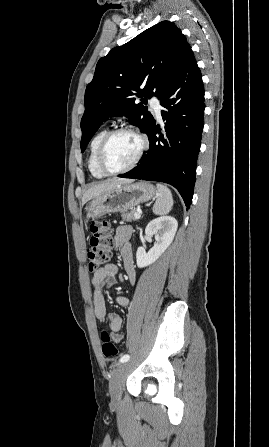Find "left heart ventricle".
I'll return each mask as SVG.
<instances>
[{"mask_svg": "<svg viewBox=\"0 0 269 447\" xmlns=\"http://www.w3.org/2000/svg\"><path fill=\"white\" fill-rule=\"evenodd\" d=\"M142 145L141 138L129 131L115 134L109 141L105 162L112 169H119L131 164Z\"/></svg>", "mask_w": 269, "mask_h": 447, "instance_id": "obj_1", "label": "left heart ventricle"}]
</instances>
